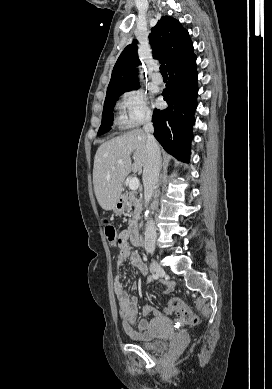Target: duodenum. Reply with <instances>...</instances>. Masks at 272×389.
Wrapping results in <instances>:
<instances>
[{"label": "duodenum", "mask_w": 272, "mask_h": 389, "mask_svg": "<svg viewBox=\"0 0 272 389\" xmlns=\"http://www.w3.org/2000/svg\"><path fill=\"white\" fill-rule=\"evenodd\" d=\"M128 236H129L131 243L134 246H136V247L141 246L142 239H141L138 227L131 228L129 230Z\"/></svg>", "instance_id": "1"}]
</instances>
